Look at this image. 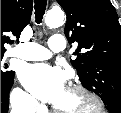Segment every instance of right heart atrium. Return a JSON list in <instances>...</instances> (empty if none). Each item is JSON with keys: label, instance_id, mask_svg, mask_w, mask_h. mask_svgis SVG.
<instances>
[{"label": "right heart atrium", "instance_id": "obj_1", "mask_svg": "<svg viewBox=\"0 0 121 113\" xmlns=\"http://www.w3.org/2000/svg\"><path fill=\"white\" fill-rule=\"evenodd\" d=\"M14 109L31 113L39 108L38 103L22 89L16 88L11 95Z\"/></svg>", "mask_w": 121, "mask_h": 113}]
</instances>
